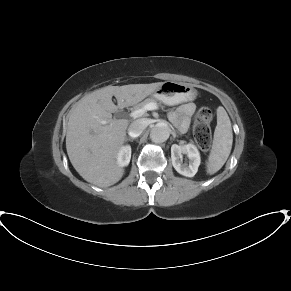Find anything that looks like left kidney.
<instances>
[{
    "label": "left kidney",
    "instance_id": "1",
    "mask_svg": "<svg viewBox=\"0 0 291 291\" xmlns=\"http://www.w3.org/2000/svg\"><path fill=\"white\" fill-rule=\"evenodd\" d=\"M186 154L189 164L182 162V155ZM171 160L175 170L186 177H193L201 162L200 153L197 147L191 143L184 145L173 144L171 146Z\"/></svg>",
    "mask_w": 291,
    "mask_h": 291
}]
</instances>
